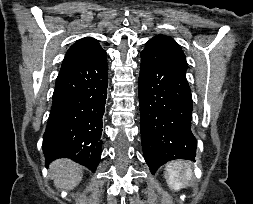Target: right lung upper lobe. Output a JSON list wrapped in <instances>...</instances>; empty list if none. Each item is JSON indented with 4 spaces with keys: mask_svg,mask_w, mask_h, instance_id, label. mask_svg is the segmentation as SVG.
<instances>
[{
    "mask_svg": "<svg viewBox=\"0 0 253 204\" xmlns=\"http://www.w3.org/2000/svg\"><path fill=\"white\" fill-rule=\"evenodd\" d=\"M103 50L96 39L87 37L78 40L67 51L63 60L61 70H65L79 61Z\"/></svg>",
    "mask_w": 253,
    "mask_h": 204,
    "instance_id": "cb5924a9",
    "label": "right lung upper lobe"
}]
</instances>
